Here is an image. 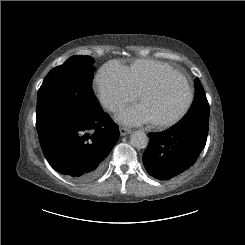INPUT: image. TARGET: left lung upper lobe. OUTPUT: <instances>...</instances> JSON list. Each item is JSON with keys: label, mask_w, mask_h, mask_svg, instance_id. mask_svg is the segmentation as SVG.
I'll list each match as a JSON object with an SVG mask.
<instances>
[{"label": "left lung upper lobe", "mask_w": 245, "mask_h": 245, "mask_svg": "<svg viewBox=\"0 0 245 245\" xmlns=\"http://www.w3.org/2000/svg\"><path fill=\"white\" fill-rule=\"evenodd\" d=\"M195 99L187 115L176 125L175 128H198L208 131L209 104L198 78L195 79Z\"/></svg>", "instance_id": "1"}]
</instances>
